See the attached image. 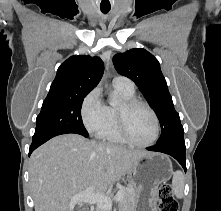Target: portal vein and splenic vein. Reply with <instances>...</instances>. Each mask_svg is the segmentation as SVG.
<instances>
[{"instance_id": "1", "label": "portal vein and splenic vein", "mask_w": 221, "mask_h": 211, "mask_svg": "<svg viewBox=\"0 0 221 211\" xmlns=\"http://www.w3.org/2000/svg\"><path fill=\"white\" fill-rule=\"evenodd\" d=\"M124 197V191L119 190L115 197L114 200L116 202H119L123 199ZM89 203V204H96L99 208L105 209V210H110L112 208V200L110 197L104 195V194H99L95 193L93 188H88L84 192L77 194L73 196L70 199V204L73 206L77 203Z\"/></svg>"}]
</instances>
